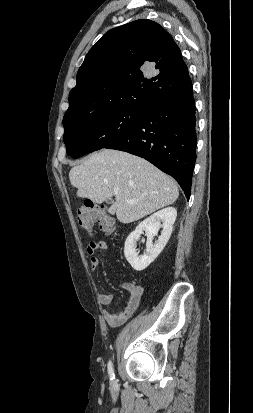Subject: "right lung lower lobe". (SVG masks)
Segmentation results:
<instances>
[{"label":"right lung lower lobe","instance_id":"right-lung-lower-lobe-1","mask_svg":"<svg viewBox=\"0 0 253 413\" xmlns=\"http://www.w3.org/2000/svg\"><path fill=\"white\" fill-rule=\"evenodd\" d=\"M196 145L195 99L191 83L180 93L147 105L138 125L106 148L148 160L175 178L189 199Z\"/></svg>","mask_w":253,"mask_h":413}]
</instances>
